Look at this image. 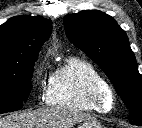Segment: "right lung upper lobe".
<instances>
[{
	"label": "right lung upper lobe",
	"mask_w": 142,
	"mask_h": 128,
	"mask_svg": "<svg viewBox=\"0 0 142 128\" xmlns=\"http://www.w3.org/2000/svg\"><path fill=\"white\" fill-rule=\"evenodd\" d=\"M52 22L41 17L15 16L0 26V74L13 73L37 59L50 37Z\"/></svg>",
	"instance_id": "right-lung-upper-lobe-1"
}]
</instances>
